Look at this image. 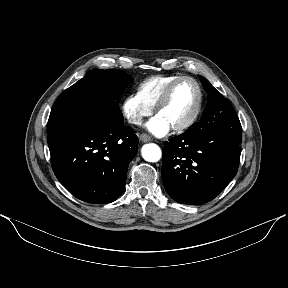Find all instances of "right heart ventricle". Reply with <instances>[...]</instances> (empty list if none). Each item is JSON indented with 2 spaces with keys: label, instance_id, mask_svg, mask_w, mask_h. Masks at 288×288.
<instances>
[{
  "label": "right heart ventricle",
  "instance_id": "e07e8e85",
  "mask_svg": "<svg viewBox=\"0 0 288 288\" xmlns=\"http://www.w3.org/2000/svg\"><path fill=\"white\" fill-rule=\"evenodd\" d=\"M178 75H154L142 80L136 88V96L145 105L154 108L165 88Z\"/></svg>",
  "mask_w": 288,
  "mask_h": 288
}]
</instances>
